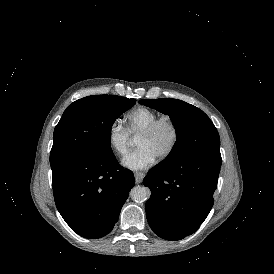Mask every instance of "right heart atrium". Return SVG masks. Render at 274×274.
<instances>
[{
    "instance_id": "1",
    "label": "right heart atrium",
    "mask_w": 274,
    "mask_h": 274,
    "mask_svg": "<svg viewBox=\"0 0 274 274\" xmlns=\"http://www.w3.org/2000/svg\"><path fill=\"white\" fill-rule=\"evenodd\" d=\"M106 140L112 151L122 154L127 148L128 133L122 125L111 123L107 129Z\"/></svg>"
}]
</instances>
